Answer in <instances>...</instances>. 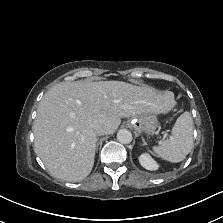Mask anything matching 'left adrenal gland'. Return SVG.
<instances>
[{
	"mask_svg": "<svg viewBox=\"0 0 223 223\" xmlns=\"http://www.w3.org/2000/svg\"><path fill=\"white\" fill-rule=\"evenodd\" d=\"M142 142H143V145H147V143L145 142L144 138H142Z\"/></svg>",
	"mask_w": 223,
	"mask_h": 223,
	"instance_id": "1",
	"label": "left adrenal gland"
}]
</instances>
